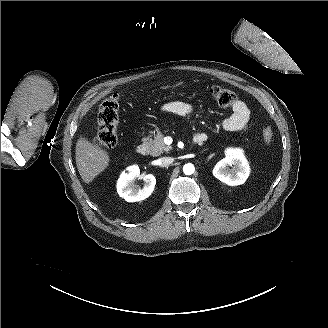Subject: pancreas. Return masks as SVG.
Returning a JSON list of instances; mask_svg holds the SVG:
<instances>
[{
  "label": "pancreas",
  "instance_id": "1",
  "mask_svg": "<svg viewBox=\"0 0 328 328\" xmlns=\"http://www.w3.org/2000/svg\"><path fill=\"white\" fill-rule=\"evenodd\" d=\"M143 142L149 147L150 153L153 156H159L163 152L168 153L173 149L171 145H166L164 143V135L159 129H157V134L154 139H152L150 136H147L143 138Z\"/></svg>",
  "mask_w": 328,
  "mask_h": 328
}]
</instances>
